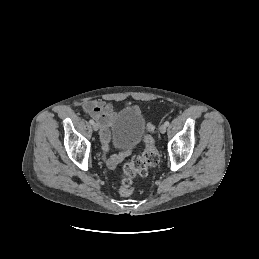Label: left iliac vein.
I'll return each mask as SVG.
<instances>
[{
  "label": "left iliac vein",
  "mask_w": 259,
  "mask_h": 259,
  "mask_svg": "<svg viewBox=\"0 0 259 259\" xmlns=\"http://www.w3.org/2000/svg\"><path fill=\"white\" fill-rule=\"evenodd\" d=\"M167 126L165 124H162L159 128L160 132L164 134L166 132Z\"/></svg>",
  "instance_id": "obj_1"
}]
</instances>
